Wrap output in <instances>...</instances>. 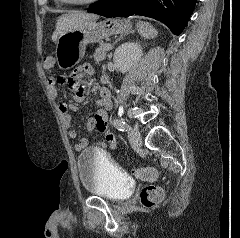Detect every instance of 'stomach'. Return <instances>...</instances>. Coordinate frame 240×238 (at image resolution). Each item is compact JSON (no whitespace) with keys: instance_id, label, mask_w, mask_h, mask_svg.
I'll list each match as a JSON object with an SVG mask.
<instances>
[{"instance_id":"stomach-1","label":"stomach","mask_w":240,"mask_h":238,"mask_svg":"<svg viewBox=\"0 0 240 238\" xmlns=\"http://www.w3.org/2000/svg\"><path fill=\"white\" fill-rule=\"evenodd\" d=\"M130 29V22L124 19H106L101 22L91 20L77 29L59 35L55 50L58 67L62 70L74 67L83 58L87 44L126 33Z\"/></svg>"}]
</instances>
